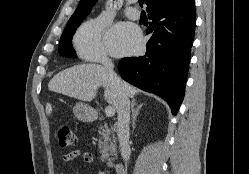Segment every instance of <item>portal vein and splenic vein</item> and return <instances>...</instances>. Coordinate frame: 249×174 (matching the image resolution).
I'll return each mask as SVG.
<instances>
[{
  "instance_id": "18ae733b",
  "label": "portal vein and splenic vein",
  "mask_w": 249,
  "mask_h": 174,
  "mask_svg": "<svg viewBox=\"0 0 249 174\" xmlns=\"http://www.w3.org/2000/svg\"><path fill=\"white\" fill-rule=\"evenodd\" d=\"M105 114L107 117H112L115 114V110L113 107L108 106L105 108Z\"/></svg>"
}]
</instances>
